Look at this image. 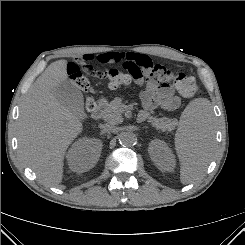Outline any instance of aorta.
<instances>
[{"mask_svg":"<svg viewBox=\"0 0 245 245\" xmlns=\"http://www.w3.org/2000/svg\"><path fill=\"white\" fill-rule=\"evenodd\" d=\"M119 142L123 146L131 147L136 144L137 137L133 132H124L120 134Z\"/></svg>","mask_w":245,"mask_h":245,"instance_id":"aorta-1","label":"aorta"}]
</instances>
